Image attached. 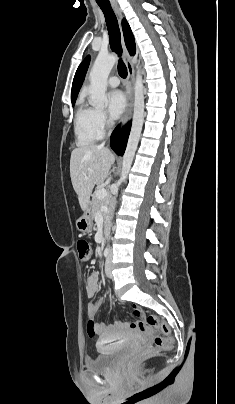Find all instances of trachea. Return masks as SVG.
Wrapping results in <instances>:
<instances>
[{"label":"trachea","instance_id":"3493384b","mask_svg":"<svg viewBox=\"0 0 235 404\" xmlns=\"http://www.w3.org/2000/svg\"><path fill=\"white\" fill-rule=\"evenodd\" d=\"M101 10L104 13L106 19L107 30L110 39V46L113 52L118 54L119 57L122 55V47H121V34L118 25L117 18L111 8L110 4H99ZM118 73L122 78L127 77V67L123 63L122 59H119L118 62Z\"/></svg>","mask_w":235,"mask_h":404}]
</instances>
